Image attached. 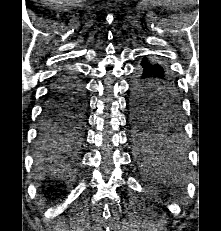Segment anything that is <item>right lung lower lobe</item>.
Here are the masks:
<instances>
[{"instance_id":"right-lung-lower-lobe-1","label":"right lung lower lobe","mask_w":221,"mask_h":231,"mask_svg":"<svg viewBox=\"0 0 221 231\" xmlns=\"http://www.w3.org/2000/svg\"><path fill=\"white\" fill-rule=\"evenodd\" d=\"M78 99H85L81 80L74 72L65 69L57 75L48 93L44 109L50 105L69 103Z\"/></svg>"}]
</instances>
